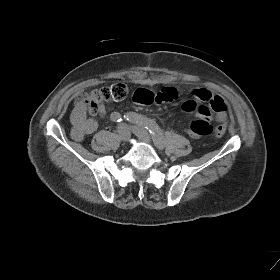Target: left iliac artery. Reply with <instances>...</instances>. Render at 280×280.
<instances>
[{"mask_svg": "<svg viewBox=\"0 0 280 280\" xmlns=\"http://www.w3.org/2000/svg\"><path fill=\"white\" fill-rule=\"evenodd\" d=\"M124 118L129 122L144 126V128H146L152 134L154 141L157 144L164 143L163 133L155 121L133 112L127 113Z\"/></svg>", "mask_w": 280, "mask_h": 280, "instance_id": "1", "label": "left iliac artery"}]
</instances>
